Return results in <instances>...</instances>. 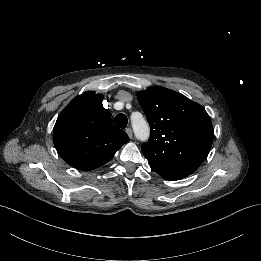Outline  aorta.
Listing matches in <instances>:
<instances>
[{"label": "aorta", "instance_id": "obj_1", "mask_svg": "<svg viewBox=\"0 0 261 261\" xmlns=\"http://www.w3.org/2000/svg\"><path fill=\"white\" fill-rule=\"evenodd\" d=\"M130 124L137 141L144 143L149 140L151 134L150 125L140 111H133L130 114Z\"/></svg>", "mask_w": 261, "mask_h": 261}]
</instances>
